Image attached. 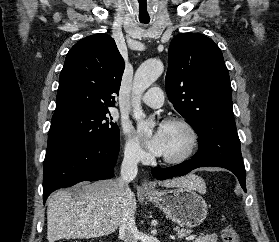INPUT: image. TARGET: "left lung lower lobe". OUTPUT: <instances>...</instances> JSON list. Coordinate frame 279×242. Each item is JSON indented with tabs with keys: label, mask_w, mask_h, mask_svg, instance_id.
I'll use <instances>...</instances> for the list:
<instances>
[{
	"label": "left lung lower lobe",
	"mask_w": 279,
	"mask_h": 242,
	"mask_svg": "<svg viewBox=\"0 0 279 242\" xmlns=\"http://www.w3.org/2000/svg\"><path fill=\"white\" fill-rule=\"evenodd\" d=\"M205 166L222 167L230 170L237 176L240 185L242 186L243 190L246 192L245 168L230 163L228 161L192 159L168 168H153L152 174L154 175L155 178L159 180H164L175 176L185 175L196 168L205 167Z\"/></svg>",
	"instance_id": "1"
}]
</instances>
